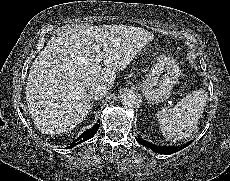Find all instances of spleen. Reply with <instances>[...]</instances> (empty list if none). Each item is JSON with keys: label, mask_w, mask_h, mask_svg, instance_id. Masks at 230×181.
<instances>
[{"label": "spleen", "mask_w": 230, "mask_h": 181, "mask_svg": "<svg viewBox=\"0 0 230 181\" xmlns=\"http://www.w3.org/2000/svg\"><path fill=\"white\" fill-rule=\"evenodd\" d=\"M205 102L204 93L194 91L173 108L158 111L156 115L162 135L174 141L188 138L203 113Z\"/></svg>", "instance_id": "3e777b00"}]
</instances>
